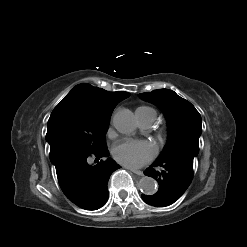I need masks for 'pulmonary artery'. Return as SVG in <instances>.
Listing matches in <instances>:
<instances>
[{
  "instance_id": "obj_1",
  "label": "pulmonary artery",
  "mask_w": 247,
  "mask_h": 247,
  "mask_svg": "<svg viewBox=\"0 0 247 247\" xmlns=\"http://www.w3.org/2000/svg\"><path fill=\"white\" fill-rule=\"evenodd\" d=\"M154 120L153 119H146V120H141L140 124L143 128H149L152 126Z\"/></svg>"
}]
</instances>
